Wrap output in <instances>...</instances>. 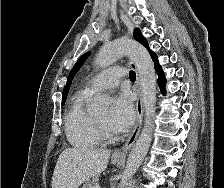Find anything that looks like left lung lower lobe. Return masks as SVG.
Instances as JSON below:
<instances>
[{"label":"left lung lower lobe","instance_id":"0a47b994","mask_svg":"<svg viewBox=\"0 0 224 188\" xmlns=\"http://www.w3.org/2000/svg\"><path fill=\"white\" fill-rule=\"evenodd\" d=\"M154 66H155V70L158 74V84L161 88V91L164 92L165 91L164 87H165V84H166V79H165L164 73L162 71V68L159 65L158 60L154 61Z\"/></svg>","mask_w":224,"mask_h":188}]
</instances>
